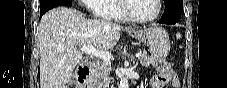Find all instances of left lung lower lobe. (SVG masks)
<instances>
[{
    "label": "left lung lower lobe",
    "mask_w": 227,
    "mask_h": 88,
    "mask_svg": "<svg viewBox=\"0 0 227 88\" xmlns=\"http://www.w3.org/2000/svg\"><path fill=\"white\" fill-rule=\"evenodd\" d=\"M165 3L164 13L159 20L161 24H175L180 20L183 1L182 0H167Z\"/></svg>",
    "instance_id": "obj_1"
}]
</instances>
